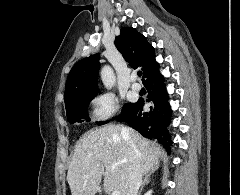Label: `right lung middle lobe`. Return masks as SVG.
I'll return each instance as SVG.
<instances>
[{
	"label": "right lung middle lobe",
	"mask_w": 240,
	"mask_h": 195,
	"mask_svg": "<svg viewBox=\"0 0 240 195\" xmlns=\"http://www.w3.org/2000/svg\"><path fill=\"white\" fill-rule=\"evenodd\" d=\"M94 97H85V98H80L76 99L70 104L66 105V113H67V118L70 123L74 122H83V121H90L89 116H88V105L91 102V100ZM135 103H127L123 106L121 115L129 111L131 108H133ZM108 121L105 122H97L98 125H102L107 123Z\"/></svg>",
	"instance_id": "dd1d6c3e"
}]
</instances>
